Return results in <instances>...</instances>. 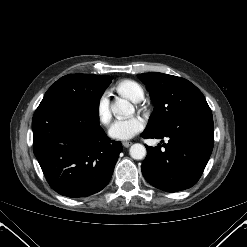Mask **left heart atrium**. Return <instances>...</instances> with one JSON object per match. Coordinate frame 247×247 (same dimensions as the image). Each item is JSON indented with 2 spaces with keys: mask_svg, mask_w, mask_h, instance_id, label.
Wrapping results in <instances>:
<instances>
[{
  "mask_svg": "<svg viewBox=\"0 0 247 247\" xmlns=\"http://www.w3.org/2000/svg\"><path fill=\"white\" fill-rule=\"evenodd\" d=\"M144 128V121L139 117L116 120L109 129V135L113 139L128 140L134 137Z\"/></svg>",
  "mask_w": 247,
  "mask_h": 247,
  "instance_id": "left-heart-atrium-1",
  "label": "left heart atrium"
}]
</instances>
